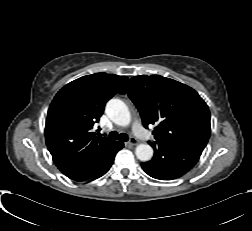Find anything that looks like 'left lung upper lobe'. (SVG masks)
Returning a JSON list of instances; mask_svg holds the SVG:
<instances>
[{"label":"left lung upper lobe","mask_w":252,"mask_h":231,"mask_svg":"<svg viewBox=\"0 0 252 231\" xmlns=\"http://www.w3.org/2000/svg\"><path fill=\"white\" fill-rule=\"evenodd\" d=\"M138 108L143 125L156 124L157 142L185 143L205 148L210 136V112L191 87L160 75H140L119 91Z\"/></svg>","instance_id":"1"}]
</instances>
